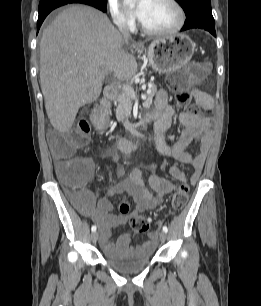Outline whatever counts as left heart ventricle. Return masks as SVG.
Instances as JSON below:
<instances>
[{
    "label": "left heart ventricle",
    "mask_w": 261,
    "mask_h": 306,
    "mask_svg": "<svg viewBox=\"0 0 261 306\" xmlns=\"http://www.w3.org/2000/svg\"><path fill=\"white\" fill-rule=\"evenodd\" d=\"M139 19L150 28L168 29L175 24L177 14L166 0H147Z\"/></svg>",
    "instance_id": "left-heart-ventricle-1"
}]
</instances>
